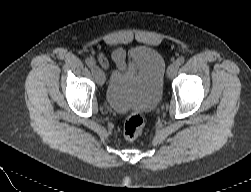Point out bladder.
I'll return each mask as SVG.
<instances>
[{
    "label": "bladder",
    "instance_id": "bladder-1",
    "mask_svg": "<svg viewBox=\"0 0 251 192\" xmlns=\"http://www.w3.org/2000/svg\"><path fill=\"white\" fill-rule=\"evenodd\" d=\"M132 64L125 71L114 70L108 80L105 98L116 112L131 109L152 111L161 101L166 70L164 57L149 47L130 51Z\"/></svg>",
    "mask_w": 251,
    "mask_h": 192
}]
</instances>
